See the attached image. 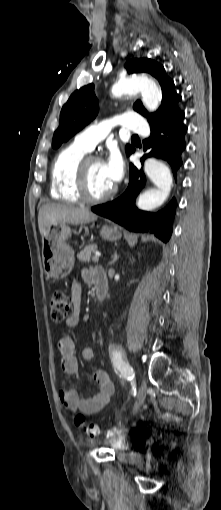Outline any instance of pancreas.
Masks as SVG:
<instances>
[{
  "label": "pancreas",
  "instance_id": "1",
  "mask_svg": "<svg viewBox=\"0 0 221 510\" xmlns=\"http://www.w3.org/2000/svg\"><path fill=\"white\" fill-rule=\"evenodd\" d=\"M97 250V246L94 244L87 245L80 253L77 254V259L81 262H89L92 252Z\"/></svg>",
  "mask_w": 221,
  "mask_h": 510
}]
</instances>
